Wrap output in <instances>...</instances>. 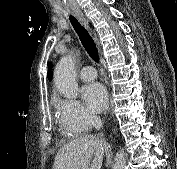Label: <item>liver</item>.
I'll use <instances>...</instances> for the list:
<instances>
[{
	"instance_id": "6515ba94",
	"label": "liver",
	"mask_w": 177,
	"mask_h": 169,
	"mask_svg": "<svg viewBox=\"0 0 177 169\" xmlns=\"http://www.w3.org/2000/svg\"><path fill=\"white\" fill-rule=\"evenodd\" d=\"M108 144L85 135L66 143L55 156L53 169H101Z\"/></svg>"
}]
</instances>
